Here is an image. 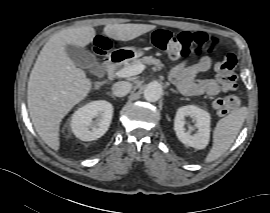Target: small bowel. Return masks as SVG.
<instances>
[{
  "mask_svg": "<svg viewBox=\"0 0 270 213\" xmlns=\"http://www.w3.org/2000/svg\"><path fill=\"white\" fill-rule=\"evenodd\" d=\"M211 66L212 60L207 56L202 57L192 65L183 61L172 68L170 78L184 95H216L221 90L218 81L213 78L198 77L202 72L209 70Z\"/></svg>",
  "mask_w": 270,
  "mask_h": 213,
  "instance_id": "1",
  "label": "small bowel"
}]
</instances>
